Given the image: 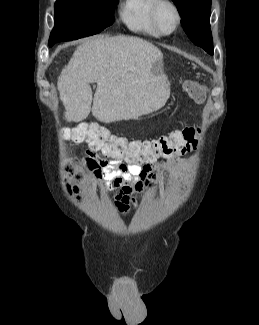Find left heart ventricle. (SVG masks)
Segmentation results:
<instances>
[{"label":"left heart ventricle","mask_w":259,"mask_h":325,"mask_svg":"<svg viewBox=\"0 0 259 325\" xmlns=\"http://www.w3.org/2000/svg\"><path fill=\"white\" fill-rule=\"evenodd\" d=\"M157 18L163 31L172 30L176 23V14L173 8L167 4H164L159 8Z\"/></svg>","instance_id":"1"}]
</instances>
